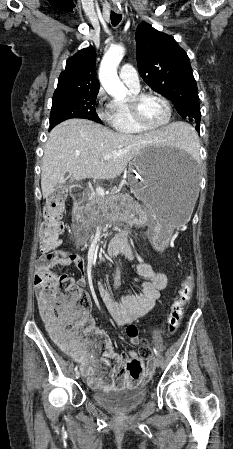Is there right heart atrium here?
I'll return each instance as SVG.
<instances>
[{"mask_svg":"<svg viewBox=\"0 0 233 449\" xmlns=\"http://www.w3.org/2000/svg\"><path fill=\"white\" fill-rule=\"evenodd\" d=\"M106 97H107V95H106L105 89L100 87L97 92V95H96L97 103L100 105L106 99ZM110 109H111V104L106 105L105 109L99 111V116L101 118L108 117L109 113H110Z\"/></svg>","mask_w":233,"mask_h":449,"instance_id":"right-heart-atrium-1","label":"right heart atrium"}]
</instances>
